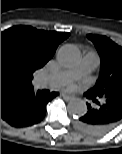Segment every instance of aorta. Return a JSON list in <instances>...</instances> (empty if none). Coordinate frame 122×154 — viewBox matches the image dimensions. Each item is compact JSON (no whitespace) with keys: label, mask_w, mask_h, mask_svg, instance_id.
Here are the masks:
<instances>
[{"label":"aorta","mask_w":122,"mask_h":154,"mask_svg":"<svg viewBox=\"0 0 122 154\" xmlns=\"http://www.w3.org/2000/svg\"><path fill=\"white\" fill-rule=\"evenodd\" d=\"M80 58L78 49L73 45L62 46L57 52L58 62L66 67H71L77 63ZM67 109L69 114L73 116H81L87 112L86 103L78 98L72 99L68 105Z\"/></svg>","instance_id":"aorta-1"}]
</instances>
